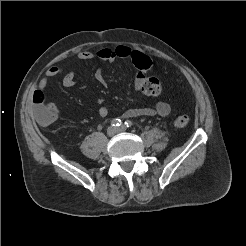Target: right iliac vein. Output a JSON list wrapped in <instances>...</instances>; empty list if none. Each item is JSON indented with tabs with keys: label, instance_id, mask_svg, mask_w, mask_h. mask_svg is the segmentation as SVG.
<instances>
[{
	"label": "right iliac vein",
	"instance_id": "right-iliac-vein-1",
	"mask_svg": "<svg viewBox=\"0 0 246 246\" xmlns=\"http://www.w3.org/2000/svg\"><path fill=\"white\" fill-rule=\"evenodd\" d=\"M117 133V129L115 128V127H109L108 129H107V135L109 136V137H112V136H114L115 134Z\"/></svg>",
	"mask_w": 246,
	"mask_h": 246
}]
</instances>
